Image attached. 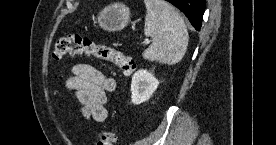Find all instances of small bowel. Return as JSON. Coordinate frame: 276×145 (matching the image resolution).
Masks as SVG:
<instances>
[{
  "label": "small bowel",
  "mask_w": 276,
  "mask_h": 145,
  "mask_svg": "<svg viewBox=\"0 0 276 145\" xmlns=\"http://www.w3.org/2000/svg\"><path fill=\"white\" fill-rule=\"evenodd\" d=\"M71 72L66 86L80 103L84 118L95 122L105 121L107 93L115 90L116 81L91 64H75Z\"/></svg>",
  "instance_id": "obj_1"
}]
</instances>
